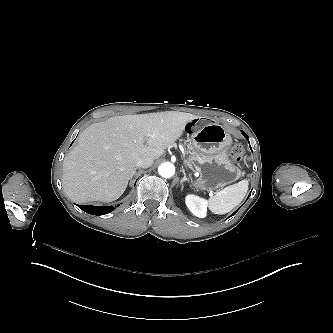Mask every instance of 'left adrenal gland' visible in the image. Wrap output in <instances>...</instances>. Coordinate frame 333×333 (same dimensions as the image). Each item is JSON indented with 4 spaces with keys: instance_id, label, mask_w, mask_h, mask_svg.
<instances>
[{
    "instance_id": "obj_1",
    "label": "left adrenal gland",
    "mask_w": 333,
    "mask_h": 333,
    "mask_svg": "<svg viewBox=\"0 0 333 333\" xmlns=\"http://www.w3.org/2000/svg\"><path fill=\"white\" fill-rule=\"evenodd\" d=\"M182 173H183V178L180 180V184H183V182L185 181H190L187 177H186V172L185 169H182Z\"/></svg>"
}]
</instances>
